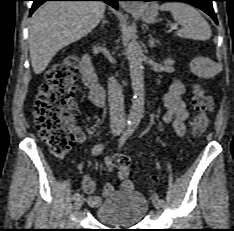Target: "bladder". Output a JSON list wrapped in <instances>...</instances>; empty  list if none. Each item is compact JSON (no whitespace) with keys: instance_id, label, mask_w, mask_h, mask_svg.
Returning a JSON list of instances; mask_svg holds the SVG:
<instances>
[{"instance_id":"1","label":"bladder","mask_w":234,"mask_h":231,"mask_svg":"<svg viewBox=\"0 0 234 231\" xmlns=\"http://www.w3.org/2000/svg\"><path fill=\"white\" fill-rule=\"evenodd\" d=\"M149 211L147 198L140 192H120L109 196L96 210L99 222L115 226H132Z\"/></svg>"}]
</instances>
